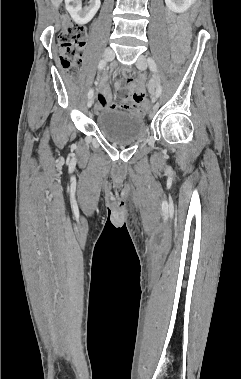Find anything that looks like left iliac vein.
<instances>
[{
	"label": "left iliac vein",
	"mask_w": 241,
	"mask_h": 379,
	"mask_svg": "<svg viewBox=\"0 0 241 379\" xmlns=\"http://www.w3.org/2000/svg\"><path fill=\"white\" fill-rule=\"evenodd\" d=\"M147 65H148V61H147L146 56L140 55L136 62L137 68L140 70H145L147 68ZM157 98L158 96L155 93L151 95V100L153 103L156 102Z\"/></svg>",
	"instance_id": "left-iliac-vein-1"
}]
</instances>
